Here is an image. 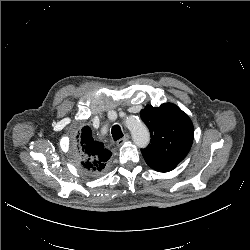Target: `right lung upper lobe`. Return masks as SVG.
<instances>
[{"label": "right lung upper lobe", "mask_w": 250, "mask_h": 250, "mask_svg": "<svg viewBox=\"0 0 250 250\" xmlns=\"http://www.w3.org/2000/svg\"><path fill=\"white\" fill-rule=\"evenodd\" d=\"M76 151L81 166L93 170H103L107 167L112 153L103 143L95 141L89 126L82 128L76 136Z\"/></svg>", "instance_id": "obj_1"}]
</instances>
